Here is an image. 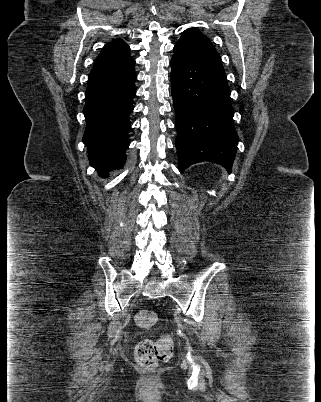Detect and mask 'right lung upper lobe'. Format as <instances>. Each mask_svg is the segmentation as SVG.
Instances as JSON below:
<instances>
[{
  "instance_id": "obj_1",
  "label": "right lung upper lobe",
  "mask_w": 321,
  "mask_h": 402,
  "mask_svg": "<svg viewBox=\"0 0 321 402\" xmlns=\"http://www.w3.org/2000/svg\"><path fill=\"white\" fill-rule=\"evenodd\" d=\"M130 47L122 40L107 43L98 55L94 68L124 67L135 64Z\"/></svg>"
}]
</instances>
